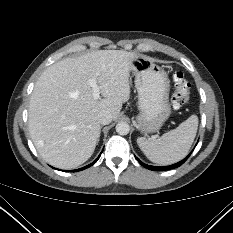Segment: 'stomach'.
Segmentation results:
<instances>
[{
	"instance_id": "stomach-1",
	"label": "stomach",
	"mask_w": 233,
	"mask_h": 233,
	"mask_svg": "<svg viewBox=\"0 0 233 233\" xmlns=\"http://www.w3.org/2000/svg\"><path fill=\"white\" fill-rule=\"evenodd\" d=\"M131 71L138 92V129L145 134L156 132L171 114L167 73L153 59L142 55L131 61Z\"/></svg>"
}]
</instances>
